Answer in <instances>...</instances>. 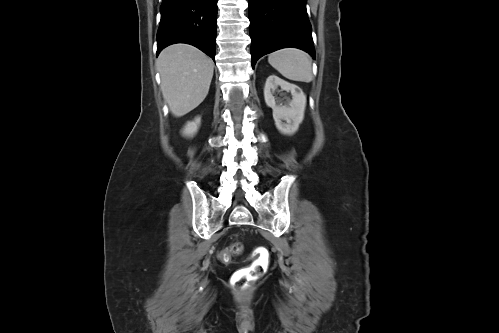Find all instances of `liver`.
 I'll list each match as a JSON object with an SVG mask.
<instances>
[{
	"instance_id": "liver-1",
	"label": "liver",
	"mask_w": 499,
	"mask_h": 333,
	"mask_svg": "<svg viewBox=\"0 0 499 333\" xmlns=\"http://www.w3.org/2000/svg\"><path fill=\"white\" fill-rule=\"evenodd\" d=\"M156 65L163 98L175 117L189 113L207 96L214 63L196 47L170 45L160 53Z\"/></svg>"
}]
</instances>
